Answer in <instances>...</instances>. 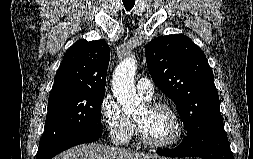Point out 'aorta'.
<instances>
[{
  "label": "aorta",
  "instance_id": "obj_1",
  "mask_svg": "<svg viewBox=\"0 0 253 159\" xmlns=\"http://www.w3.org/2000/svg\"><path fill=\"white\" fill-rule=\"evenodd\" d=\"M135 72L136 60L129 56L117 66L113 75V94L126 114L135 113L144 106L143 100L136 94Z\"/></svg>",
  "mask_w": 253,
  "mask_h": 159
}]
</instances>
